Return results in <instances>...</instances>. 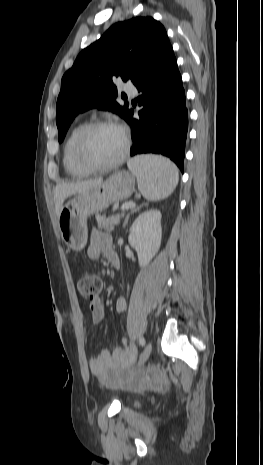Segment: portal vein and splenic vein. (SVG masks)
<instances>
[{
	"label": "portal vein and splenic vein",
	"instance_id": "1",
	"mask_svg": "<svg viewBox=\"0 0 263 465\" xmlns=\"http://www.w3.org/2000/svg\"><path fill=\"white\" fill-rule=\"evenodd\" d=\"M134 207H135V203L128 202V203L123 204L121 209L122 210H128V209H131V208H134Z\"/></svg>",
	"mask_w": 263,
	"mask_h": 465
}]
</instances>
